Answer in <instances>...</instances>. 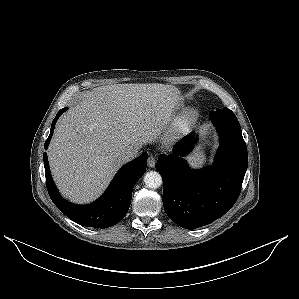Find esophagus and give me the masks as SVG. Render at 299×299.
<instances>
[{
	"mask_svg": "<svg viewBox=\"0 0 299 299\" xmlns=\"http://www.w3.org/2000/svg\"><path fill=\"white\" fill-rule=\"evenodd\" d=\"M147 162H148V166L150 168H153L155 166V164H156V159L153 156H149Z\"/></svg>",
	"mask_w": 299,
	"mask_h": 299,
	"instance_id": "obj_1",
	"label": "esophagus"
}]
</instances>
